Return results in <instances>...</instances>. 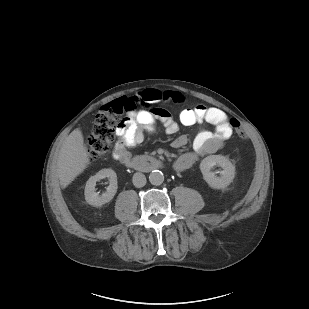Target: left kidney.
I'll use <instances>...</instances> for the list:
<instances>
[{
  "mask_svg": "<svg viewBox=\"0 0 309 309\" xmlns=\"http://www.w3.org/2000/svg\"><path fill=\"white\" fill-rule=\"evenodd\" d=\"M220 166L223 170L221 176L217 177L211 169ZM200 170L204 180L213 189H224L231 184L235 177V166L224 156L210 155L204 158L200 163Z\"/></svg>",
  "mask_w": 309,
  "mask_h": 309,
  "instance_id": "obj_1",
  "label": "left kidney"
}]
</instances>
